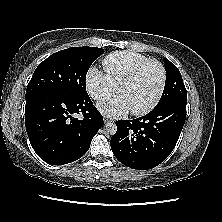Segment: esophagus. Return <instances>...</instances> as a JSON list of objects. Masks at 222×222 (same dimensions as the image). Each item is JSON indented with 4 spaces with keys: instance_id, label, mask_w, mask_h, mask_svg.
<instances>
[{
    "instance_id": "esophagus-1",
    "label": "esophagus",
    "mask_w": 222,
    "mask_h": 222,
    "mask_svg": "<svg viewBox=\"0 0 222 222\" xmlns=\"http://www.w3.org/2000/svg\"><path fill=\"white\" fill-rule=\"evenodd\" d=\"M104 122L105 123H110V122H114L113 120L109 119V118H104Z\"/></svg>"
}]
</instances>
